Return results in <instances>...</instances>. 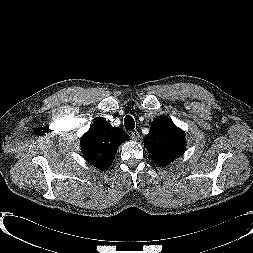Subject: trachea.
Wrapping results in <instances>:
<instances>
[{
  "instance_id": "3493384b",
  "label": "trachea",
  "mask_w": 253,
  "mask_h": 253,
  "mask_svg": "<svg viewBox=\"0 0 253 253\" xmlns=\"http://www.w3.org/2000/svg\"><path fill=\"white\" fill-rule=\"evenodd\" d=\"M124 126H125L126 130H129V131H131L135 128V121L130 115H127L125 117Z\"/></svg>"
}]
</instances>
